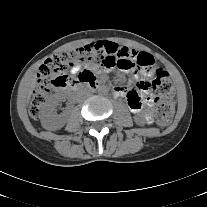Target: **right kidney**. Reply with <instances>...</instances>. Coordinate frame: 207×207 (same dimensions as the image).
I'll return each mask as SVG.
<instances>
[{"label": "right kidney", "instance_id": "obj_1", "mask_svg": "<svg viewBox=\"0 0 207 207\" xmlns=\"http://www.w3.org/2000/svg\"><path fill=\"white\" fill-rule=\"evenodd\" d=\"M63 99L62 95L55 94L46 103L41 114L42 127L47 130H57L66 124V117L64 114H57L55 108Z\"/></svg>", "mask_w": 207, "mask_h": 207}]
</instances>
